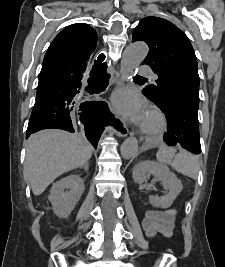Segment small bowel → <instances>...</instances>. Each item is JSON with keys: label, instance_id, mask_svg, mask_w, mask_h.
<instances>
[{"label": "small bowel", "instance_id": "c3829d8e", "mask_svg": "<svg viewBox=\"0 0 225 267\" xmlns=\"http://www.w3.org/2000/svg\"><path fill=\"white\" fill-rule=\"evenodd\" d=\"M174 209L164 211H148L143 220V226L148 237L160 233L165 237H171L174 232Z\"/></svg>", "mask_w": 225, "mask_h": 267}]
</instances>
